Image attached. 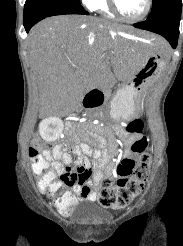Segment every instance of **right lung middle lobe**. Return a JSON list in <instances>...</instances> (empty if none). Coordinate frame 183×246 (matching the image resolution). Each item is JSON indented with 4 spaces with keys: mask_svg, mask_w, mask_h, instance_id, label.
<instances>
[{
    "mask_svg": "<svg viewBox=\"0 0 183 246\" xmlns=\"http://www.w3.org/2000/svg\"><path fill=\"white\" fill-rule=\"evenodd\" d=\"M81 4L77 0H26L24 14L39 13L49 9Z\"/></svg>",
    "mask_w": 183,
    "mask_h": 246,
    "instance_id": "dd1d6c3e",
    "label": "right lung middle lobe"
}]
</instances>
